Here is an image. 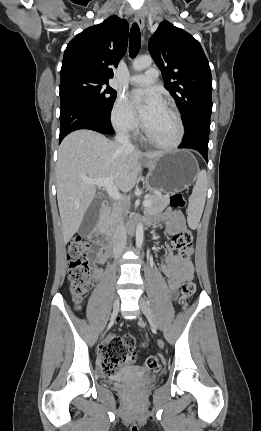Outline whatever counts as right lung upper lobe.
<instances>
[{
	"instance_id": "right-lung-upper-lobe-1",
	"label": "right lung upper lobe",
	"mask_w": 261,
	"mask_h": 431,
	"mask_svg": "<svg viewBox=\"0 0 261 431\" xmlns=\"http://www.w3.org/2000/svg\"><path fill=\"white\" fill-rule=\"evenodd\" d=\"M128 32L127 21L116 15L85 29L67 45L61 76L81 72L108 81L113 77L111 66L117 67L126 52Z\"/></svg>"
}]
</instances>
